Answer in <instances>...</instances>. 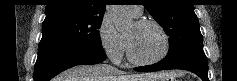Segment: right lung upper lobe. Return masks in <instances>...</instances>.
I'll use <instances>...</instances> for the list:
<instances>
[{
  "label": "right lung upper lobe",
  "instance_id": "1",
  "mask_svg": "<svg viewBox=\"0 0 237 81\" xmlns=\"http://www.w3.org/2000/svg\"><path fill=\"white\" fill-rule=\"evenodd\" d=\"M107 0H49L46 18L63 15L103 17Z\"/></svg>",
  "mask_w": 237,
  "mask_h": 81
}]
</instances>
